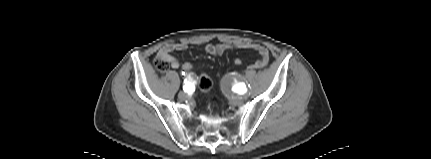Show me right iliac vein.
<instances>
[{"label": "right iliac vein", "mask_w": 431, "mask_h": 159, "mask_svg": "<svg viewBox=\"0 0 431 159\" xmlns=\"http://www.w3.org/2000/svg\"><path fill=\"white\" fill-rule=\"evenodd\" d=\"M178 97H179V99H180V100H186V99L188 98V95H187V93H186V92L181 91V92L178 94Z\"/></svg>", "instance_id": "right-iliac-vein-1"}]
</instances>
